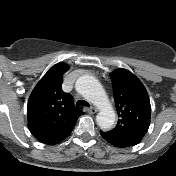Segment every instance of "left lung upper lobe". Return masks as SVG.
<instances>
[{
	"instance_id": "1",
	"label": "left lung upper lobe",
	"mask_w": 176,
	"mask_h": 176,
	"mask_svg": "<svg viewBox=\"0 0 176 176\" xmlns=\"http://www.w3.org/2000/svg\"><path fill=\"white\" fill-rule=\"evenodd\" d=\"M118 122L107 134L133 146L147 133L150 125L151 106L143 84L126 69L110 74Z\"/></svg>"
}]
</instances>
